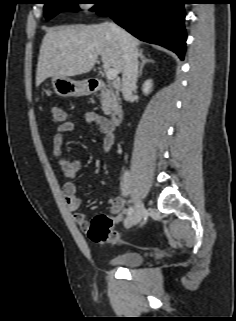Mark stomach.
Instances as JSON below:
<instances>
[{"mask_svg": "<svg viewBox=\"0 0 236 321\" xmlns=\"http://www.w3.org/2000/svg\"><path fill=\"white\" fill-rule=\"evenodd\" d=\"M52 86L55 93L63 97H79L90 93L86 81H76L69 77H53Z\"/></svg>", "mask_w": 236, "mask_h": 321, "instance_id": "0dacf381", "label": "stomach"}]
</instances>
